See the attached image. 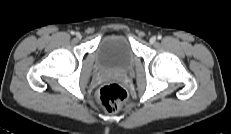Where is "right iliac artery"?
<instances>
[{"label":"right iliac artery","mask_w":231,"mask_h":134,"mask_svg":"<svg viewBox=\"0 0 231 134\" xmlns=\"http://www.w3.org/2000/svg\"><path fill=\"white\" fill-rule=\"evenodd\" d=\"M71 34H72V35H74V34H75V32H74V31H71Z\"/></svg>","instance_id":"obj_1"}]
</instances>
